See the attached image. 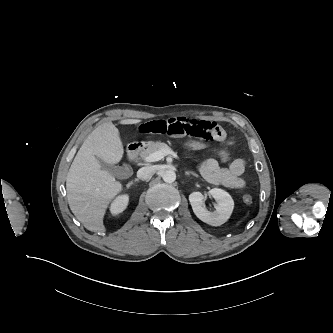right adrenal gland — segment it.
Returning <instances> with one entry per match:
<instances>
[{"label": "right adrenal gland", "mask_w": 333, "mask_h": 333, "mask_svg": "<svg viewBox=\"0 0 333 333\" xmlns=\"http://www.w3.org/2000/svg\"><path fill=\"white\" fill-rule=\"evenodd\" d=\"M138 181H139V180H138V179H136L134 182H138ZM131 184H132V183H131ZM131 184H130V185H131ZM130 185H128V187H129Z\"/></svg>", "instance_id": "right-adrenal-gland-1"}]
</instances>
